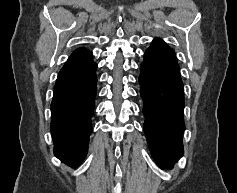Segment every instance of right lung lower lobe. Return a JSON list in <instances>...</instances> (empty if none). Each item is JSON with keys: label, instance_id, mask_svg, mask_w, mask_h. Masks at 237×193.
I'll return each instance as SVG.
<instances>
[{"label": "right lung lower lobe", "instance_id": "98d812e1", "mask_svg": "<svg viewBox=\"0 0 237 193\" xmlns=\"http://www.w3.org/2000/svg\"><path fill=\"white\" fill-rule=\"evenodd\" d=\"M97 64L92 52L75 50L59 72L51 103L54 154L78 166L87 153L96 97Z\"/></svg>", "mask_w": 237, "mask_h": 193}]
</instances>
